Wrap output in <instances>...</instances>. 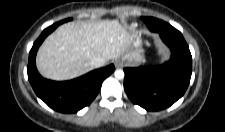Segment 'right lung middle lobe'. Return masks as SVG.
I'll return each instance as SVG.
<instances>
[{
    "mask_svg": "<svg viewBox=\"0 0 225 132\" xmlns=\"http://www.w3.org/2000/svg\"><path fill=\"white\" fill-rule=\"evenodd\" d=\"M70 20H71V18H68V19L62 20V21L57 22V23H58V24H62V23H64V22H67V21H70Z\"/></svg>",
    "mask_w": 225,
    "mask_h": 132,
    "instance_id": "right-lung-middle-lobe-1",
    "label": "right lung middle lobe"
}]
</instances>
